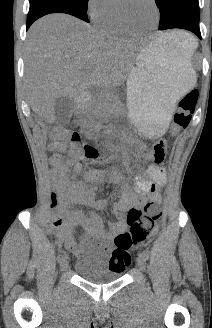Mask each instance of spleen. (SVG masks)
I'll use <instances>...</instances> for the list:
<instances>
[{"label":"spleen","instance_id":"1","mask_svg":"<svg viewBox=\"0 0 212 328\" xmlns=\"http://www.w3.org/2000/svg\"><path fill=\"white\" fill-rule=\"evenodd\" d=\"M162 41H167L176 45L190 57H192L198 47L197 39L193 35L183 31H176V35L169 36V40L162 39Z\"/></svg>","mask_w":212,"mask_h":328}]
</instances>
